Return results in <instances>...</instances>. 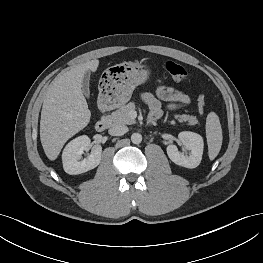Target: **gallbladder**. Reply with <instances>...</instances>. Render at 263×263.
<instances>
[{
  "label": "gallbladder",
  "mask_w": 263,
  "mask_h": 263,
  "mask_svg": "<svg viewBox=\"0 0 263 263\" xmlns=\"http://www.w3.org/2000/svg\"><path fill=\"white\" fill-rule=\"evenodd\" d=\"M89 81H90V71H87L82 81V92L87 98L90 97Z\"/></svg>",
  "instance_id": "gallbladder-1"
}]
</instances>
